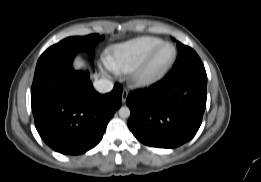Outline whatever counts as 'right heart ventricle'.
Returning a JSON list of instances; mask_svg holds the SVG:
<instances>
[{"mask_svg":"<svg viewBox=\"0 0 261 182\" xmlns=\"http://www.w3.org/2000/svg\"><path fill=\"white\" fill-rule=\"evenodd\" d=\"M163 40L152 36L134 38L110 48L107 62L110 67L121 71H131Z\"/></svg>","mask_w":261,"mask_h":182,"instance_id":"1","label":"right heart ventricle"}]
</instances>
